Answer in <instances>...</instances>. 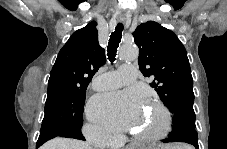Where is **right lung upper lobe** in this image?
I'll use <instances>...</instances> for the list:
<instances>
[{
  "label": "right lung upper lobe",
  "mask_w": 227,
  "mask_h": 149,
  "mask_svg": "<svg viewBox=\"0 0 227 149\" xmlns=\"http://www.w3.org/2000/svg\"><path fill=\"white\" fill-rule=\"evenodd\" d=\"M96 26L93 21L74 32L59 51L50 72L48 92L86 89L93 75L105 64V50L99 46Z\"/></svg>",
  "instance_id": "right-lung-upper-lobe-1"
}]
</instances>
